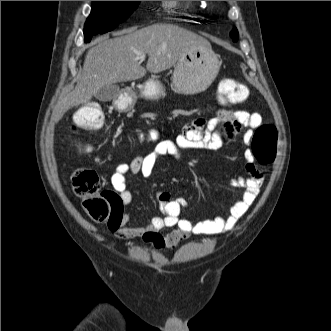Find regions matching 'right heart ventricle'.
Masks as SVG:
<instances>
[{"instance_id": "obj_1", "label": "right heart ventricle", "mask_w": 331, "mask_h": 331, "mask_svg": "<svg viewBox=\"0 0 331 331\" xmlns=\"http://www.w3.org/2000/svg\"><path fill=\"white\" fill-rule=\"evenodd\" d=\"M165 3H166V5L171 6V7L180 4L179 1H165ZM183 4H185V6H187V7H191L192 1H184Z\"/></svg>"}]
</instances>
